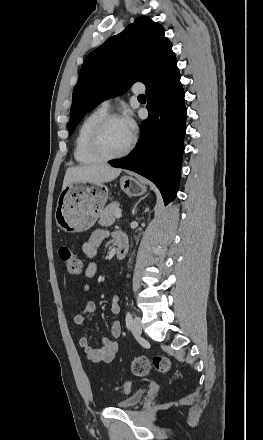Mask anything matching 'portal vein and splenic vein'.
I'll return each mask as SVG.
<instances>
[{
    "mask_svg": "<svg viewBox=\"0 0 263 440\" xmlns=\"http://www.w3.org/2000/svg\"><path fill=\"white\" fill-rule=\"evenodd\" d=\"M122 216L121 211L115 212V217L120 218Z\"/></svg>",
    "mask_w": 263,
    "mask_h": 440,
    "instance_id": "1",
    "label": "portal vein and splenic vein"
}]
</instances>
